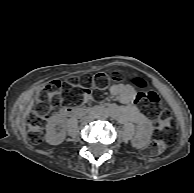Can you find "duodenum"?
<instances>
[{"label": "duodenum", "instance_id": "410a0bca", "mask_svg": "<svg viewBox=\"0 0 194 193\" xmlns=\"http://www.w3.org/2000/svg\"><path fill=\"white\" fill-rule=\"evenodd\" d=\"M62 112L65 115L71 116V117H75V116H79L81 114H84L87 112L86 109L84 108H79V107H65Z\"/></svg>", "mask_w": 194, "mask_h": 193}]
</instances>
